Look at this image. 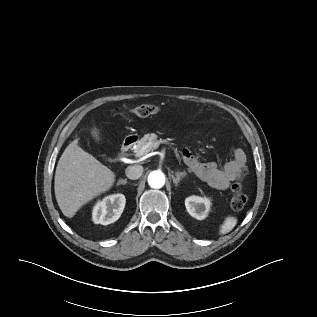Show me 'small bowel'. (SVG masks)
Returning a JSON list of instances; mask_svg holds the SVG:
<instances>
[{"instance_id": "c3829d8e", "label": "small bowel", "mask_w": 317, "mask_h": 317, "mask_svg": "<svg viewBox=\"0 0 317 317\" xmlns=\"http://www.w3.org/2000/svg\"><path fill=\"white\" fill-rule=\"evenodd\" d=\"M182 154L184 162L194 174L216 189L229 188L247 165V156L240 148L235 149L233 158L223 166L214 162H201L188 149L183 150Z\"/></svg>"}]
</instances>
